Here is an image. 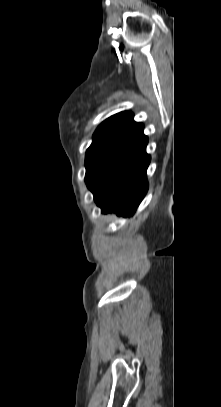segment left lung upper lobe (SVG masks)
<instances>
[{"mask_svg": "<svg viewBox=\"0 0 221 407\" xmlns=\"http://www.w3.org/2000/svg\"><path fill=\"white\" fill-rule=\"evenodd\" d=\"M132 119L133 113L126 111L109 117L99 125L93 135V142L86 151L85 178L87 177L97 160L102 156V154L130 125V123L133 121Z\"/></svg>", "mask_w": 221, "mask_h": 407, "instance_id": "left-lung-upper-lobe-1", "label": "left lung upper lobe"}]
</instances>
